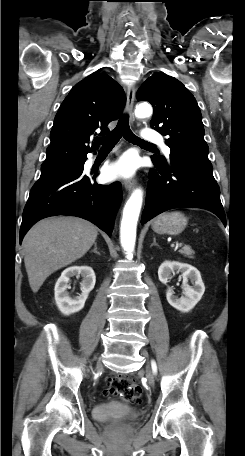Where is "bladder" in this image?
<instances>
[{"instance_id":"31cf9c89","label":"bladder","mask_w":245,"mask_h":456,"mask_svg":"<svg viewBox=\"0 0 245 456\" xmlns=\"http://www.w3.org/2000/svg\"><path fill=\"white\" fill-rule=\"evenodd\" d=\"M92 415L100 422L122 421L135 418L137 410L127 404L112 401L95 405Z\"/></svg>"}]
</instances>
